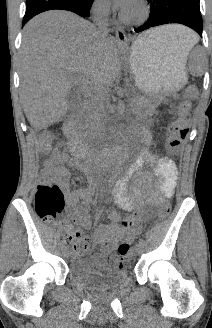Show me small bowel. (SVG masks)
Instances as JSON below:
<instances>
[{
  "mask_svg": "<svg viewBox=\"0 0 212 328\" xmlns=\"http://www.w3.org/2000/svg\"><path fill=\"white\" fill-rule=\"evenodd\" d=\"M142 137L146 141L148 140L146 133H142ZM146 163L154 167V173L160 179L159 192L150 191L148 188L150 175L141 171ZM43 166L44 175L55 179L62 188L72 221L83 228H89L91 226L89 211L92 192L82 188L71 190L68 182L67 166L79 167V162L71 160L66 153L55 149L43 162ZM131 178H134V185L132 192L129 193L128 182ZM177 179V168L170 158L151 153L147 149L143 150L142 154L118 180L113 191L115 204L130 214L122 216L116 211H111L108 215L110 223L100 224L95 228L92 243L99 246L100 250L88 260L91 270L103 274L118 268L120 260L113 254L116 245L123 240H132L141 232L144 222L151 217L153 208L161 205L164 198L172 196ZM90 245L91 241L87 239L86 248L82 251H75V256L82 257ZM110 255L112 256L108 261Z\"/></svg>",
  "mask_w": 212,
  "mask_h": 328,
  "instance_id": "small-bowel-1",
  "label": "small bowel"
}]
</instances>
